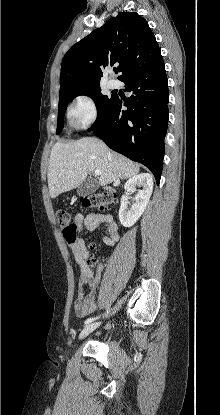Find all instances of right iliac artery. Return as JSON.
Masks as SVG:
<instances>
[{
	"label": "right iliac artery",
	"mask_w": 220,
	"mask_h": 415,
	"mask_svg": "<svg viewBox=\"0 0 220 415\" xmlns=\"http://www.w3.org/2000/svg\"><path fill=\"white\" fill-rule=\"evenodd\" d=\"M99 317H100V316H96V317L88 318V319L85 321V324H89V323H91V322L95 321L96 319H98Z\"/></svg>",
	"instance_id": "1"
}]
</instances>
